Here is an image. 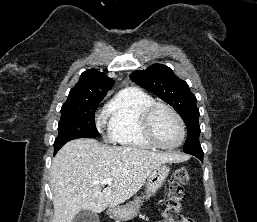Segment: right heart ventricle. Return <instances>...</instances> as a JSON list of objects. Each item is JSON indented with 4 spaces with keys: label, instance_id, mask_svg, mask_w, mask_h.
I'll list each match as a JSON object with an SVG mask.
<instances>
[{
    "label": "right heart ventricle",
    "instance_id": "obj_1",
    "mask_svg": "<svg viewBox=\"0 0 257 222\" xmlns=\"http://www.w3.org/2000/svg\"><path fill=\"white\" fill-rule=\"evenodd\" d=\"M154 102L152 96L137 88L116 94L104 109L110 140L126 148L152 149L142 134L140 121L143 111Z\"/></svg>",
    "mask_w": 257,
    "mask_h": 222
}]
</instances>
